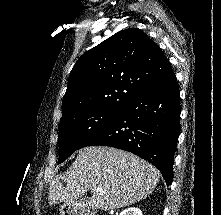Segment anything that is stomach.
Instances as JSON below:
<instances>
[{
  "instance_id": "obj_1",
  "label": "stomach",
  "mask_w": 221,
  "mask_h": 215,
  "mask_svg": "<svg viewBox=\"0 0 221 215\" xmlns=\"http://www.w3.org/2000/svg\"><path fill=\"white\" fill-rule=\"evenodd\" d=\"M59 210L61 215H75V207L72 203H64Z\"/></svg>"
}]
</instances>
